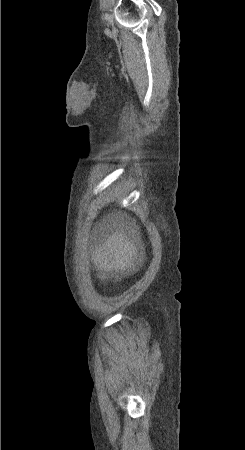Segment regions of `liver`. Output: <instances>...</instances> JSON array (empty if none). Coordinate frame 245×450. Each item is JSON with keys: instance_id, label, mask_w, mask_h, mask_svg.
<instances>
[{"instance_id": "1", "label": "liver", "mask_w": 245, "mask_h": 450, "mask_svg": "<svg viewBox=\"0 0 245 450\" xmlns=\"http://www.w3.org/2000/svg\"><path fill=\"white\" fill-rule=\"evenodd\" d=\"M138 257V247L123 228L111 234L103 246L92 252V262L100 271L131 269Z\"/></svg>"}]
</instances>
